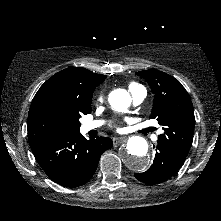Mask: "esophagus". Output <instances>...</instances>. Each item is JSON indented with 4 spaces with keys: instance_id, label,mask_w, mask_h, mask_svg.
<instances>
[{
    "instance_id": "esophagus-1",
    "label": "esophagus",
    "mask_w": 221,
    "mask_h": 221,
    "mask_svg": "<svg viewBox=\"0 0 221 221\" xmlns=\"http://www.w3.org/2000/svg\"><path fill=\"white\" fill-rule=\"evenodd\" d=\"M126 140H127L126 137H114L113 138V144L118 145V144H121L123 142H126Z\"/></svg>"
}]
</instances>
